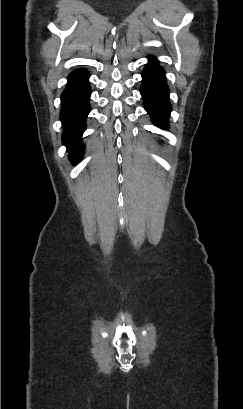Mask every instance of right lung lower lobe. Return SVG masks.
Wrapping results in <instances>:
<instances>
[{"instance_id":"1","label":"right lung lower lobe","mask_w":243,"mask_h":409,"mask_svg":"<svg viewBox=\"0 0 243 409\" xmlns=\"http://www.w3.org/2000/svg\"><path fill=\"white\" fill-rule=\"evenodd\" d=\"M89 76L85 69H78L70 73L66 89L61 95L60 119L64 128L62 140L63 144L70 149V159L74 162L79 161L85 149L81 143V137L85 131L87 115L90 112Z\"/></svg>"}]
</instances>
